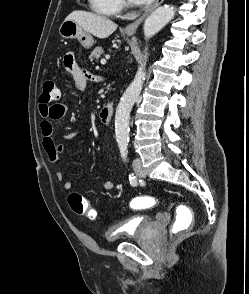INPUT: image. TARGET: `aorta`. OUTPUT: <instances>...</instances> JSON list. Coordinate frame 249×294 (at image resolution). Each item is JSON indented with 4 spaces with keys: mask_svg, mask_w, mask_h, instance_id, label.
Segmentation results:
<instances>
[{
    "mask_svg": "<svg viewBox=\"0 0 249 294\" xmlns=\"http://www.w3.org/2000/svg\"><path fill=\"white\" fill-rule=\"evenodd\" d=\"M175 9L173 6L165 5L153 11L144 23V36L148 40L158 33L169 21L173 19ZM148 58L147 48L144 50L143 62L140 63L134 80L124 92L116 109L115 134L120 148H125L129 142V122L131 109L139 97L145 79V66Z\"/></svg>",
    "mask_w": 249,
    "mask_h": 294,
    "instance_id": "1",
    "label": "aorta"
}]
</instances>
